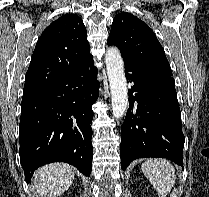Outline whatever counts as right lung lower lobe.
I'll return each instance as SVG.
<instances>
[{"mask_svg":"<svg viewBox=\"0 0 209 197\" xmlns=\"http://www.w3.org/2000/svg\"><path fill=\"white\" fill-rule=\"evenodd\" d=\"M93 57L63 77L24 91L19 125L20 161L30 182L40 166L62 161L85 176L92 170L91 106L99 82Z\"/></svg>","mask_w":209,"mask_h":197,"instance_id":"right-lung-lower-lobe-1","label":"right lung lower lobe"}]
</instances>
